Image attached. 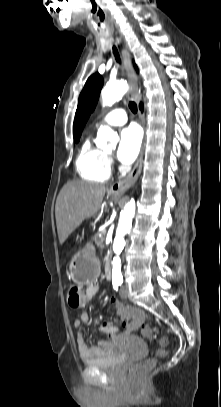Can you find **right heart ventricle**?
I'll return each mask as SVG.
<instances>
[{"label": "right heart ventricle", "instance_id": "e07e8e85", "mask_svg": "<svg viewBox=\"0 0 221 407\" xmlns=\"http://www.w3.org/2000/svg\"><path fill=\"white\" fill-rule=\"evenodd\" d=\"M76 169L80 177L86 181L103 183L110 176L107 155L94 146L91 139L85 140L76 158Z\"/></svg>", "mask_w": 221, "mask_h": 407}]
</instances>
